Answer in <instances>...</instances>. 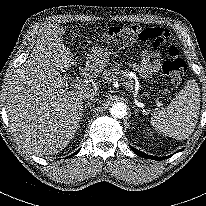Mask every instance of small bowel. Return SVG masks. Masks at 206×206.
I'll use <instances>...</instances> for the list:
<instances>
[{
	"label": "small bowel",
	"instance_id": "1",
	"mask_svg": "<svg viewBox=\"0 0 206 206\" xmlns=\"http://www.w3.org/2000/svg\"><path fill=\"white\" fill-rule=\"evenodd\" d=\"M158 64V56L156 54L143 53L141 59V72L144 75H148L153 72Z\"/></svg>",
	"mask_w": 206,
	"mask_h": 206
}]
</instances>
